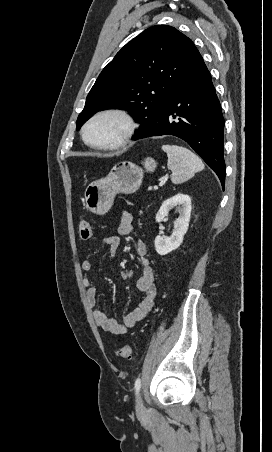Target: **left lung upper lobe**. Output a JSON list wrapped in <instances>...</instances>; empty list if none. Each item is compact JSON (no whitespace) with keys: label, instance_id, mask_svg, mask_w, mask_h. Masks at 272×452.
Segmentation results:
<instances>
[{"label":"left lung upper lobe","instance_id":"1","mask_svg":"<svg viewBox=\"0 0 272 452\" xmlns=\"http://www.w3.org/2000/svg\"><path fill=\"white\" fill-rule=\"evenodd\" d=\"M197 52L177 29L156 25L128 42L89 92L77 129L103 109H126L144 129L157 123L181 74Z\"/></svg>","mask_w":272,"mask_h":452}]
</instances>
